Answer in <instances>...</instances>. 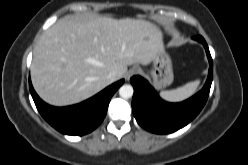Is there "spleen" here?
Segmentation results:
<instances>
[{
	"label": "spleen",
	"mask_w": 248,
	"mask_h": 165,
	"mask_svg": "<svg viewBox=\"0 0 248 165\" xmlns=\"http://www.w3.org/2000/svg\"><path fill=\"white\" fill-rule=\"evenodd\" d=\"M200 84L199 80L189 82L174 90L162 91L161 97L169 102H180L192 96Z\"/></svg>",
	"instance_id": "1"
}]
</instances>
